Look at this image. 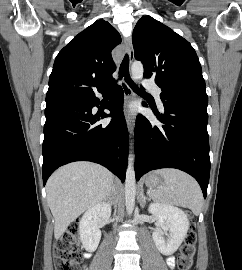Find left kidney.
<instances>
[{
  "mask_svg": "<svg viewBox=\"0 0 242 270\" xmlns=\"http://www.w3.org/2000/svg\"><path fill=\"white\" fill-rule=\"evenodd\" d=\"M161 225V229L153 232L152 238L157 249L164 255H171L177 251L184 241L189 220L182 209L167 204L151 203L148 209ZM169 232L168 238L164 235Z\"/></svg>",
  "mask_w": 242,
  "mask_h": 270,
  "instance_id": "1",
  "label": "left kidney"
}]
</instances>
